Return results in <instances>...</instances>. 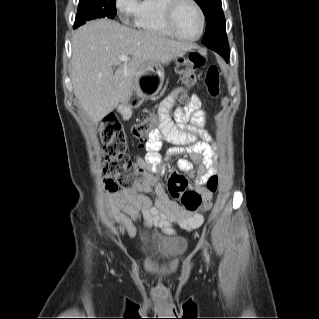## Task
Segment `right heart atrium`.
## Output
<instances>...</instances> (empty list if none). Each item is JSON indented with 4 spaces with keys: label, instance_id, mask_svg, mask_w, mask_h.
<instances>
[{
    "label": "right heart atrium",
    "instance_id": "1",
    "mask_svg": "<svg viewBox=\"0 0 319 319\" xmlns=\"http://www.w3.org/2000/svg\"><path fill=\"white\" fill-rule=\"evenodd\" d=\"M139 5V0H115V8L125 19L134 16Z\"/></svg>",
    "mask_w": 319,
    "mask_h": 319
}]
</instances>
